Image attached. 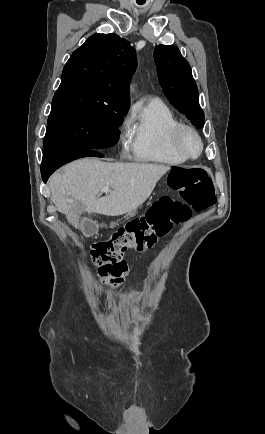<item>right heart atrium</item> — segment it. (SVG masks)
Instances as JSON below:
<instances>
[{
    "instance_id": "right-heart-atrium-1",
    "label": "right heart atrium",
    "mask_w": 265,
    "mask_h": 434,
    "mask_svg": "<svg viewBox=\"0 0 265 434\" xmlns=\"http://www.w3.org/2000/svg\"><path fill=\"white\" fill-rule=\"evenodd\" d=\"M119 125H120V127H119V133H118V135H117V142L120 144V145H125L127 142H128V135H127V132H128V127L126 126V120L125 119H120L119 120ZM120 151L122 152V153H125L126 151H127V148L125 147V146H122L121 148H120Z\"/></svg>"
}]
</instances>
